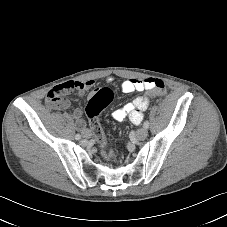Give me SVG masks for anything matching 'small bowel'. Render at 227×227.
I'll return each mask as SVG.
<instances>
[{
	"label": "small bowel",
	"instance_id": "c3829d8e",
	"mask_svg": "<svg viewBox=\"0 0 227 227\" xmlns=\"http://www.w3.org/2000/svg\"><path fill=\"white\" fill-rule=\"evenodd\" d=\"M113 77L109 76L106 78V82L112 83ZM152 78L148 79H128L125 80L122 85V91L124 93H132V92H141L144 90H149L152 87ZM79 84L78 87H74L72 85ZM95 85L94 80H87L83 82L78 81H68L61 85L53 88L48 94V102L57 109H68L70 107V102L66 98H63L62 95L69 93L70 91L77 89L79 91V95L82 96L83 93L91 89ZM55 91L58 96L56 99H52L50 97V93ZM149 97L147 95H142L134 98L131 102L125 104L123 107L112 112L111 117L115 121H123L125 119L130 120L133 124H140L144 118V111L149 106ZM73 117L77 122L78 127L81 132L84 134L86 131H89L86 128L85 122L82 119V112L80 109H75L73 112Z\"/></svg>",
	"mask_w": 227,
	"mask_h": 227
}]
</instances>
